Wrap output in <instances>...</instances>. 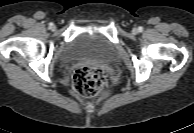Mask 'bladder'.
<instances>
[{
    "label": "bladder",
    "mask_w": 194,
    "mask_h": 133,
    "mask_svg": "<svg viewBox=\"0 0 194 133\" xmlns=\"http://www.w3.org/2000/svg\"><path fill=\"white\" fill-rule=\"evenodd\" d=\"M117 57L115 45L99 31H81L67 44L62 55L64 62L91 60L111 62Z\"/></svg>",
    "instance_id": "31cf9c89"
}]
</instances>
